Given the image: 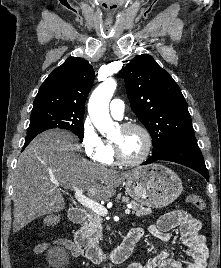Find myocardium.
Returning a JSON list of instances; mask_svg holds the SVG:
<instances>
[{
	"instance_id": "f54148a6",
	"label": "myocardium",
	"mask_w": 221,
	"mask_h": 268,
	"mask_svg": "<svg viewBox=\"0 0 221 268\" xmlns=\"http://www.w3.org/2000/svg\"><path fill=\"white\" fill-rule=\"evenodd\" d=\"M121 128L124 130L137 129L141 131L146 141L145 149L138 158L131 160V159L125 158L122 155L118 145L114 141H112L111 144H112V148L114 152V158L119 164L124 165V166H136V165L143 163L148 158L153 148V138H152L150 131L144 125L139 124V123H134V122L124 123L121 126Z\"/></svg>"
}]
</instances>
